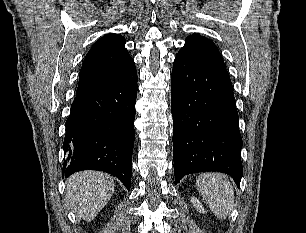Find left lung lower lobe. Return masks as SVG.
<instances>
[{
  "label": "left lung lower lobe",
  "mask_w": 306,
  "mask_h": 233,
  "mask_svg": "<svg viewBox=\"0 0 306 233\" xmlns=\"http://www.w3.org/2000/svg\"><path fill=\"white\" fill-rule=\"evenodd\" d=\"M171 86L175 183L186 174L219 171L239 187L242 138L226 68L178 53Z\"/></svg>",
  "instance_id": "1"
}]
</instances>
